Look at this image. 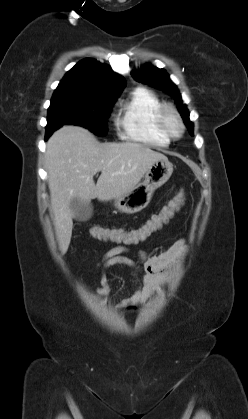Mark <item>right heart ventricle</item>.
Wrapping results in <instances>:
<instances>
[{"label": "right heart ventricle", "instance_id": "obj_1", "mask_svg": "<svg viewBox=\"0 0 248 419\" xmlns=\"http://www.w3.org/2000/svg\"><path fill=\"white\" fill-rule=\"evenodd\" d=\"M163 103L152 91L137 88L120 104L116 123L121 136L150 146H166L170 139L161 132L157 115Z\"/></svg>", "mask_w": 248, "mask_h": 419}]
</instances>
